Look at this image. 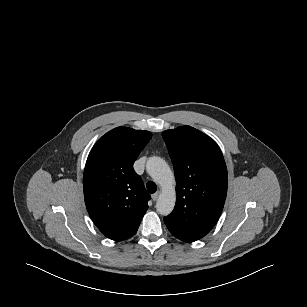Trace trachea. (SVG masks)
I'll use <instances>...</instances> for the list:
<instances>
[{"label": "trachea", "mask_w": 307, "mask_h": 307, "mask_svg": "<svg viewBox=\"0 0 307 307\" xmlns=\"http://www.w3.org/2000/svg\"><path fill=\"white\" fill-rule=\"evenodd\" d=\"M147 190L150 192V193H155L156 190H157V185L153 182V181H149L147 183Z\"/></svg>", "instance_id": "trachea-1"}]
</instances>
